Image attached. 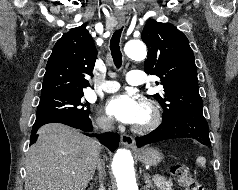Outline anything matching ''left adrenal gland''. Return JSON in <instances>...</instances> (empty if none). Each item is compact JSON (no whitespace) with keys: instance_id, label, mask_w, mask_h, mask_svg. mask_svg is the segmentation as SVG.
Returning <instances> with one entry per match:
<instances>
[{"instance_id":"left-adrenal-gland-1","label":"left adrenal gland","mask_w":238,"mask_h":190,"mask_svg":"<svg viewBox=\"0 0 238 190\" xmlns=\"http://www.w3.org/2000/svg\"><path fill=\"white\" fill-rule=\"evenodd\" d=\"M144 179H145V190L154 189L155 187L152 185V182L150 180V175L148 173H144Z\"/></svg>"}]
</instances>
